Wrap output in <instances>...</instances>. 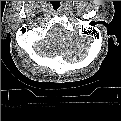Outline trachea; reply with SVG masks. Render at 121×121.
Returning <instances> with one entry per match:
<instances>
[{"instance_id":"trachea-1","label":"trachea","mask_w":121,"mask_h":121,"mask_svg":"<svg viewBox=\"0 0 121 121\" xmlns=\"http://www.w3.org/2000/svg\"><path fill=\"white\" fill-rule=\"evenodd\" d=\"M52 5H53V9H56V10L60 7L59 1H53Z\"/></svg>"}]
</instances>
